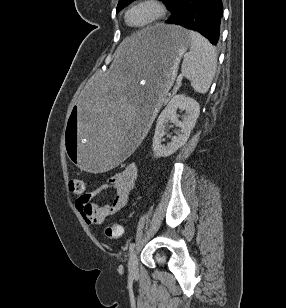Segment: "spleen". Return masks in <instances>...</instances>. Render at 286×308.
Segmentation results:
<instances>
[{"instance_id": "spleen-1", "label": "spleen", "mask_w": 286, "mask_h": 308, "mask_svg": "<svg viewBox=\"0 0 286 308\" xmlns=\"http://www.w3.org/2000/svg\"><path fill=\"white\" fill-rule=\"evenodd\" d=\"M190 52L182 63V73L190 81L194 91L206 93L216 71L217 54L212 44L201 34L188 31Z\"/></svg>"}]
</instances>
